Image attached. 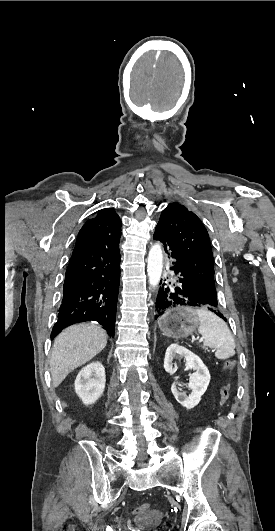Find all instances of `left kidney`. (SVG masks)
<instances>
[{
	"label": "left kidney",
	"instance_id": "obj_1",
	"mask_svg": "<svg viewBox=\"0 0 275 531\" xmlns=\"http://www.w3.org/2000/svg\"><path fill=\"white\" fill-rule=\"evenodd\" d=\"M175 355H181V357H185L186 369H195L196 373L191 375L189 383H187L188 389H191L192 391L189 397H187L185 393H179L177 385L178 387H184V385H180V383H173L171 391L176 401H178L182 407H186V409H194V407L198 405L199 401H201L202 395H204L205 391H207V387L210 383V373L206 365H204L203 361H201L200 357H197V355H194V353H191V351H188V349H185V347L175 345V343H173V345H169L168 349H166L164 369L167 371V373H175L172 363L173 357H175Z\"/></svg>",
	"mask_w": 275,
	"mask_h": 531
}]
</instances>
